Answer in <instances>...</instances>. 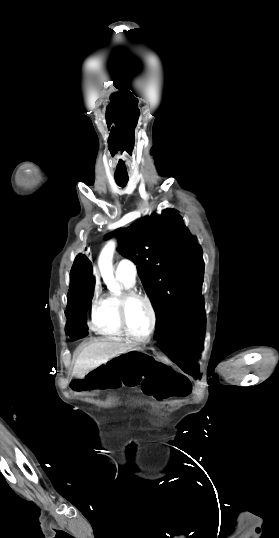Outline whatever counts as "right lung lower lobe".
Instances as JSON below:
<instances>
[{
    "instance_id": "1",
    "label": "right lung lower lobe",
    "mask_w": 279,
    "mask_h": 538,
    "mask_svg": "<svg viewBox=\"0 0 279 538\" xmlns=\"http://www.w3.org/2000/svg\"><path fill=\"white\" fill-rule=\"evenodd\" d=\"M70 275V289L66 310L67 333L71 337H84L88 334L85 323L86 307L93 298L91 262L84 255H78Z\"/></svg>"
}]
</instances>
